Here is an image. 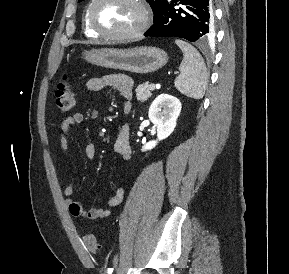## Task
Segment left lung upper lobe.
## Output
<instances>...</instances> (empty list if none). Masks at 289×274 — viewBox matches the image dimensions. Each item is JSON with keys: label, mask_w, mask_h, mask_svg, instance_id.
<instances>
[{"label": "left lung upper lobe", "mask_w": 289, "mask_h": 274, "mask_svg": "<svg viewBox=\"0 0 289 274\" xmlns=\"http://www.w3.org/2000/svg\"><path fill=\"white\" fill-rule=\"evenodd\" d=\"M83 0H79V2H81ZM154 13V21L158 19L160 11L162 9V7L166 4L167 0H146Z\"/></svg>", "instance_id": "left-lung-upper-lobe-1"}]
</instances>
